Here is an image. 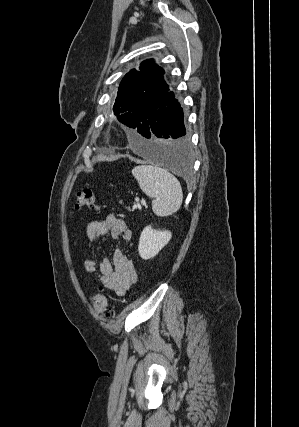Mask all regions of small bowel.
I'll return each instance as SVG.
<instances>
[{"instance_id":"obj_1","label":"small bowel","mask_w":299,"mask_h":427,"mask_svg":"<svg viewBox=\"0 0 299 427\" xmlns=\"http://www.w3.org/2000/svg\"><path fill=\"white\" fill-rule=\"evenodd\" d=\"M87 235L92 241L102 236L128 240L131 232L123 219L109 214L104 219L92 221L87 227ZM84 269L88 274L96 275L101 284L117 296H124L137 280L133 262L121 249L115 250L111 259L104 258L99 263L93 258L86 259Z\"/></svg>"}]
</instances>
